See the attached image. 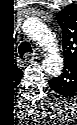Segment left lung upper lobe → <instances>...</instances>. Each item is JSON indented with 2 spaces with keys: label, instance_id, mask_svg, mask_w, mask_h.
I'll return each instance as SVG.
<instances>
[{
  "label": "left lung upper lobe",
  "instance_id": "1",
  "mask_svg": "<svg viewBox=\"0 0 77 125\" xmlns=\"http://www.w3.org/2000/svg\"><path fill=\"white\" fill-rule=\"evenodd\" d=\"M58 22L63 33V50L65 55V67L60 77L54 78L60 82L69 71V64L77 49V16L73 5L67 6L58 13ZM70 73V72H69ZM66 79V78H64Z\"/></svg>",
  "mask_w": 77,
  "mask_h": 125
}]
</instances>
